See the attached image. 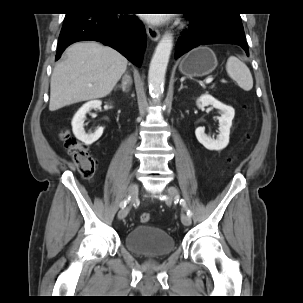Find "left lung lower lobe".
<instances>
[{
    "mask_svg": "<svg viewBox=\"0 0 303 303\" xmlns=\"http://www.w3.org/2000/svg\"><path fill=\"white\" fill-rule=\"evenodd\" d=\"M187 17L192 23L177 41L175 59L206 44H236L249 55L241 21L215 19L207 14H187Z\"/></svg>",
    "mask_w": 303,
    "mask_h": 303,
    "instance_id": "left-lung-lower-lobe-1",
    "label": "left lung lower lobe"
}]
</instances>
